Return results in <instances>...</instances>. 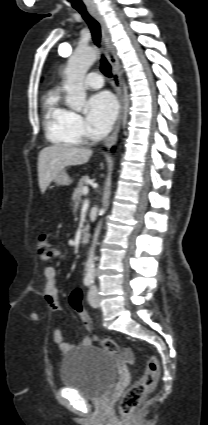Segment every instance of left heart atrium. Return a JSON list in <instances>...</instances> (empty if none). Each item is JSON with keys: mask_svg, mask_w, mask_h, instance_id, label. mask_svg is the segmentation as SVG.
Wrapping results in <instances>:
<instances>
[{"mask_svg": "<svg viewBox=\"0 0 208 425\" xmlns=\"http://www.w3.org/2000/svg\"><path fill=\"white\" fill-rule=\"evenodd\" d=\"M117 115V103L109 92L93 95L87 103V124L96 135L106 134Z\"/></svg>", "mask_w": 208, "mask_h": 425, "instance_id": "1", "label": "left heart atrium"}]
</instances>
